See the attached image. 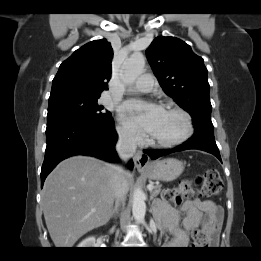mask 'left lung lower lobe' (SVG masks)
<instances>
[{
	"mask_svg": "<svg viewBox=\"0 0 261 261\" xmlns=\"http://www.w3.org/2000/svg\"><path fill=\"white\" fill-rule=\"evenodd\" d=\"M189 149H197L206 151L208 153L213 154L216 156L221 162V156L219 153V149L216 145L215 138H214V131L211 129H199L196 130L194 135L184 142V144L177 146L173 149H167V150H144V153H146L151 159H157L161 156L179 152L183 150H189Z\"/></svg>",
	"mask_w": 261,
	"mask_h": 261,
	"instance_id": "left-lung-lower-lobe-1",
	"label": "left lung lower lobe"
}]
</instances>
